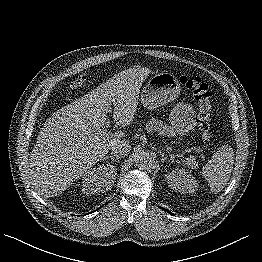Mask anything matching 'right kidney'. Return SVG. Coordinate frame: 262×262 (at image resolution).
<instances>
[{
  "label": "right kidney",
  "instance_id": "1",
  "mask_svg": "<svg viewBox=\"0 0 262 262\" xmlns=\"http://www.w3.org/2000/svg\"><path fill=\"white\" fill-rule=\"evenodd\" d=\"M113 165H103L87 171L83 176L82 191L86 195L103 193L111 189L116 177Z\"/></svg>",
  "mask_w": 262,
  "mask_h": 262
}]
</instances>
